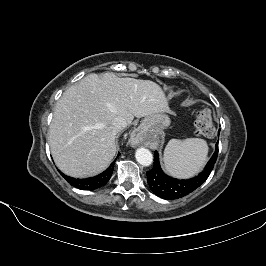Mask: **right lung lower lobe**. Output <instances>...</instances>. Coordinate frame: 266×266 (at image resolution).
I'll use <instances>...</instances> for the list:
<instances>
[{
	"label": "right lung lower lobe",
	"mask_w": 266,
	"mask_h": 266,
	"mask_svg": "<svg viewBox=\"0 0 266 266\" xmlns=\"http://www.w3.org/2000/svg\"><path fill=\"white\" fill-rule=\"evenodd\" d=\"M114 164L115 161H113L111 165L101 174L87 179L71 178L64 175L61 171H58L72 186L82 190H94L104 186L108 182L113 173Z\"/></svg>",
	"instance_id": "obj_1"
}]
</instances>
